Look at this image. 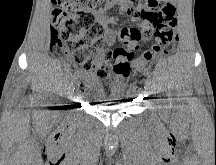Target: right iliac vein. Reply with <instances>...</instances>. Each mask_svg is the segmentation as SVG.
<instances>
[{"mask_svg": "<svg viewBox=\"0 0 216 165\" xmlns=\"http://www.w3.org/2000/svg\"><path fill=\"white\" fill-rule=\"evenodd\" d=\"M78 79L76 78V80L74 81V83L71 86V97L73 98L72 100L75 102L77 99L76 97V93H77V83H78Z\"/></svg>", "mask_w": 216, "mask_h": 165, "instance_id": "63e3f726", "label": "right iliac vein"}]
</instances>
